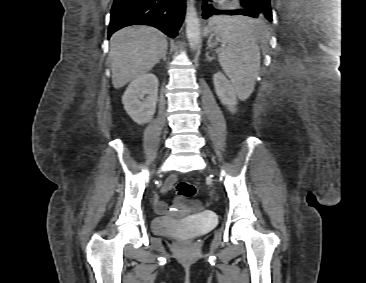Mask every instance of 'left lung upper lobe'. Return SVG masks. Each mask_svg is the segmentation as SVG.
<instances>
[{"label": "left lung upper lobe", "mask_w": 366, "mask_h": 283, "mask_svg": "<svg viewBox=\"0 0 366 283\" xmlns=\"http://www.w3.org/2000/svg\"><path fill=\"white\" fill-rule=\"evenodd\" d=\"M251 1L257 4V6L260 7L263 11V14L258 18L260 19L266 18L267 20L272 21L270 0H251Z\"/></svg>", "instance_id": "1"}]
</instances>
